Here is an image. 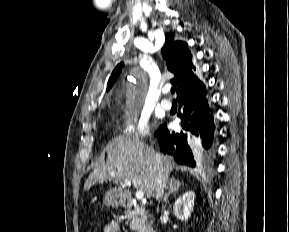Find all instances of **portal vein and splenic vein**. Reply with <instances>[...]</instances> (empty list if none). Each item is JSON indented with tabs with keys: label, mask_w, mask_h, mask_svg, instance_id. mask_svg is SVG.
<instances>
[{
	"label": "portal vein and splenic vein",
	"mask_w": 289,
	"mask_h": 232,
	"mask_svg": "<svg viewBox=\"0 0 289 232\" xmlns=\"http://www.w3.org/2000/svg\"><path fill=\"white\" fill-rule=\"evenodd\" d=\"M124 183L127 186H131V181L130 180L125 179ZM135 197L137 199H139V200H142L144 198V192L142 190H137L136 193H135Z\"/></svg>",
	"instance_id": "1"
}]
</instances>
